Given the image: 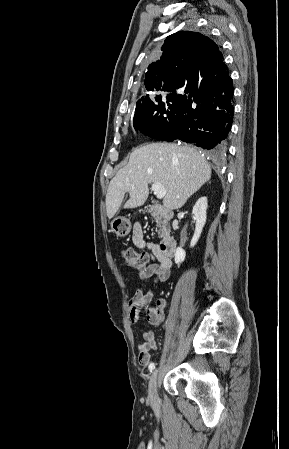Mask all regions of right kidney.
<instances>
[{
	"label": "right kidney",
	"mask_w": 289,
	"mask_h": 449,
	"mask_svg": "<svg viewBox=\"0 0 289 449\" xmlns=\"http://www.w3.org/2000/svg\"><path fill=\"white\" fill-rule=\"evenodd\" d=\"M207 207H208L207 197L205 196L199 198L193 207L192 213L194 214L196 227L193 238L190 243V247H194L201 236L203 227L206 223ZM185 256H186L185 251L181 247H178L175 253V263L176 264L182 263L185 259Z\"/></svg>",
	"instance_id": "obj_1"
}]
</instances>
